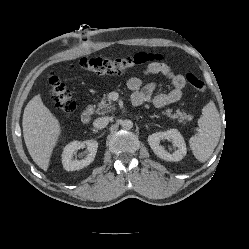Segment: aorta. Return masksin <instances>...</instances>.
I'll use <instances>...</instances> for the list:
<instances>
[{
	"mask_svg": "<svg viewBox=\"0 0 249 249\" xmlns=\"http://www.w3.org/2000/svg\"><path fill=\"white\" fill-rule=\"evenodd\" d=\"M121 126L126 130H130L133 127V122L129 119H125L122 121Z\"/></svg>",
	"mask_w": 249,
	"mask_h": 249,
	"instance_id": "762f6f07",
	"label": "aorta"
}]
</instances>
